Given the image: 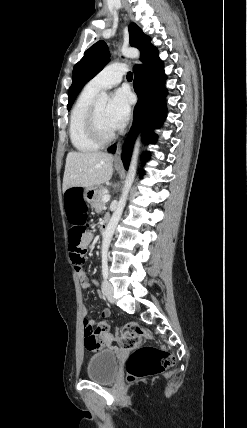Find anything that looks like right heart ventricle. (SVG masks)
Here are the masks:
<instances>
[{"instance_id":"1","label":"right heart ventricle","mask_w":247,"mask_h":428,"mask_svg":"<svg viewBox=\"0 0 247 428\" xmlns=\"http://www.w3.org/2000/svg\"><path fill=\"white\" fill-rule=\"evenodd\" d=\"M99 92L88 88L82 90L70 114L69 136L72 145L80 152H93L101 145L89 135L86 128V117Z\"/></svg>"}]
</instances>
